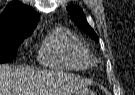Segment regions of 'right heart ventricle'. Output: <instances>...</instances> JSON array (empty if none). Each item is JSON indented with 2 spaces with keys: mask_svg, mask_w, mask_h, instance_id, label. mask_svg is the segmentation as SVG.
<instances>
[{
  "mask_svg": "<svg viewBox=\"0 0 135 95\" xmlns=\"http://www.w3.org/2000/svg\"><path fill=\"white\" fill-rule=\"evenodd\" d=\"M38 57L42 65L58 69L85 70L93 64L85 44L63 26L54 27L45 35Z\"/></svg>",
  "mask_w": 135,
  "mask_h": 95,
  "instance_id": "obj_1",
  "label": "right heart ventricle"
}]
</instances>
